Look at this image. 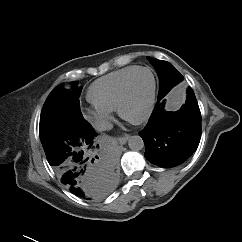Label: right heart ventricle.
I'll return each mask as SVG.
<instances>
[{"label": "right heart ventricle", "instance_id": "e07e8e85", "mask_svg": "<svg viewBox=\"0 0 242 242\" xmlns=\"http://www.w3.org/2000/svg\"><path fill=\"white\" fill-rule=\"evenodd\" d=\"M136 68L138 66H127L97 79L89 87V101L100 109L116 110L122 86Z\"/></svg>", "mask_w": 242, "mask_h": 242}]
</instances>
